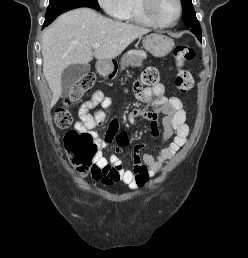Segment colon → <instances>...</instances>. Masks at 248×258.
Here are the masks:
<instances>
[{
	"mask_svg": "<svg viewBox=\"0 0 248 258\" xmlns=\"http://www.w3.org/2000/svg\"><path fill=\"white\" fill-rule=\"evenodd\" d=\"M174 55L177 66L175 85L181 92L187 93L193 88L194 80L191 73L183 69V67L193 60V49L188 44H179L174 50ZM159 79V71L153 67L147 68L141 76L142 83L151 87L157 86ZM95 82L96 77L89 73L82 76L73 86L64 105L58 107L54 112V123L57 128H70L73 117L67 106L78 101L85 93L90 91ZM64 143L68 157L79 172L85 174L90 172L96 178L107 176L108 174L118 177L116 170L100 168L95 164L94 160L97 156V144L89 132L70 130L65 135Z\"/></svg>",
	"mask_w": 248,
	"mask_h": 258,
	"instance_id": "obj_1",
	"label": "colon"
}]
</instances>
